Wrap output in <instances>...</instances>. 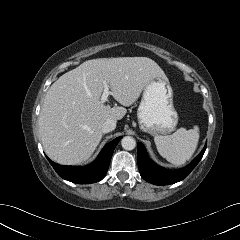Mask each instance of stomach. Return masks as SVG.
Wrapping results in <instances>:
<instances>
[{
  "label": "stomach",
  "instance_id": "1",
  "mask_svg": "<svg viewBox=\"0 0 240 240\" xmlns=\"http://www.w3.org/2000/svg\"><path fill=\"white\" fill-rule=\"evenodd\" d=\"M137 117L139 128L150 135L174 131L178 114L173 104V90L167 78L156 77L146 84Z\"/></svg>",
  "mask_w": 240,
  "mask_h": 240
}]
</instances>
